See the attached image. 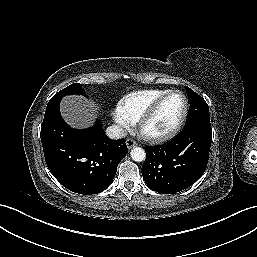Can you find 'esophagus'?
Instances as JSON below:
<instances>
[{"mask_svg": "<svg viewBox=\"0 0 257 257\" xmlns=\"http://www.w3.org/2000/svg\"><path fill=\"white\" fill-rule=\"evenodd\" d=\"M126 145H127V148L128 149H132L133 147H135L137 145L136 141L131 139V138H128L126 140Z\"/></svg>", "mask_w": 257, "mask_h": 257, "instance_id": "obj_1", "label": "esophagus"}]
</instances>
